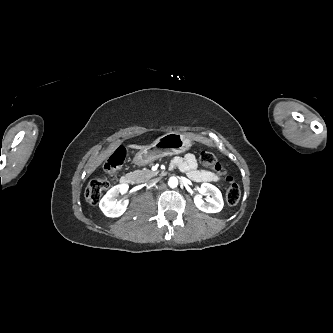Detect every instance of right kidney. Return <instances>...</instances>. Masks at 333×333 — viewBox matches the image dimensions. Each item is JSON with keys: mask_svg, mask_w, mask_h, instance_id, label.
I'll return each instance as SVG.
<instances>
[{"mask_svg": "<svg viewBox=\"0 0 333 333\" xmlns=\"http://www.w3.org/2000/svg\"><path fill=\"white\" fill-rule=\"evenodd\" d=\"M129 185L122 183L111 188L101 199L100 209L107 217H119L127 209L128 200L118 202L117 197L128 192Z\"/></svg>", "mask_w": 333, "mask_h": 333, "instance_id": "1", "label": "right kidney"}]
</instances>
